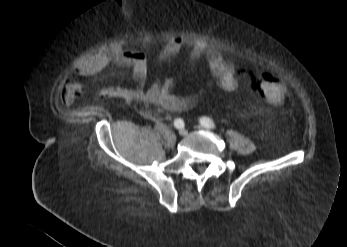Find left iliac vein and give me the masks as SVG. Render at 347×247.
Masks as SVG:
<instances>
[{
  "mask_svg": "<svg viewBox=\"0 0 347 247\" xmlns=\"http://www.w3.org/2000/svg\"><path fill=\"white\" fill-rule=\"evenodd\" d=\"M197 128H198V129H201V130L204 129V127L201 126V125L197 126Z\"/></svg>",
  "mask_w": 347,
  "mask_h": 247,
  "instance_id": "left-iliac-vein-1",
  "label": "left iliac vein"
}]
</instances>
